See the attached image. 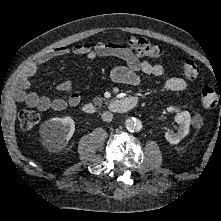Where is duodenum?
<instances>
[{
  "label": "duodenum",
  "instance_id": "duodenum-1",
  "mask_svg": "<svg viewBox=\"0 0 221 221\" xmlns=\"http://www.w3.org/2000/svg\"><path fill=\"white\" fill-rule=\"evenodd\" d=\"M139 103L137 97H126L122 99L108 100L101 105L87 103L82 107V111L86 114H96L102 109H107L114 113H123L131 110Z\"/></svg>",
  "mask_w": 221,
  "mask_h": 221
}]
</instances>
